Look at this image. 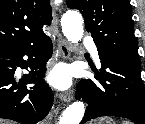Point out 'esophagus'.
Masks as SVG:
<instances>
[{"label":"esophagus","mask_w":145,"mask_h":124,"mask_svg":"<svg viewBox=\"0 0 145 124\" xmlns=\"http://www.w3.org/2000/svg\"><path fill=\"white\" fill-rule=\"evenodd\" d=\"M57 52L60 58L67 60L70 57L71 49L69 43L62 37L58 38L57 41ZM60 99L64 102H70L74 97V91L63 92L60 94Z\"/></svg>","instance_id":"esophagus-1"}]
</instances>
